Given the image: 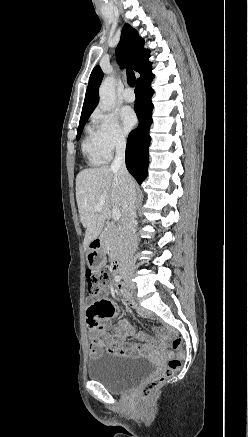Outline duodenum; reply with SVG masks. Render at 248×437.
Wrapping results in <instances>:
<instances>
[{"label": "duodenum", "instance_id": "obj_1", "mask_svg": "<svg viewBox=\"0 0 248 437\" xmlns=\"http://www.w3.org/2000/svg\"><path fill=\"white\" fill-rule=\"evenodd\" d=\"M101 246V239L99 237H96L93 239L89 244V251L98 250ZM122 268V261L120 258H117L114 260L112 264V269L115 273H119Z\"/></svg>", "mask_w": 248, "mask_h": 437}]
</instances>
